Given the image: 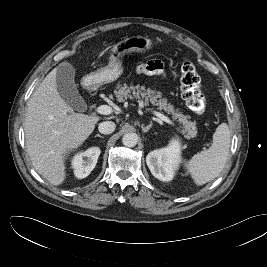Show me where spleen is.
<instances>
[{"label": "spleen", "mask_w": 267, "mask_h": 267, "mask_svg": "<svg viewBox=\"0 0 267 267\" xmlns=\"http://www.w3.org/2000/svg\"><path fill=\"white\" fill-rule=\"evenodd\" d=\"M230 141L229 127L222 123L213 134L211 147L195 154L189 161H184V166L196 185H204L221 173L228 159Z\"/></svg>", "instance_id": "obj_1"}]
</instances>
